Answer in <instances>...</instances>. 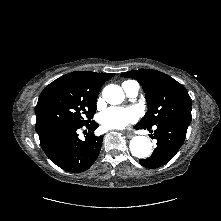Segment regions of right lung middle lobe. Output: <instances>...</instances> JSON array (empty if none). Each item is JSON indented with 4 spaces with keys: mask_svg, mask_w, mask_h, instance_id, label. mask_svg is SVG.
<instances>
[{
    "mask_svg": "<svg viewBox=\"0 0 221 221\" xmlns=\"http://www.w3.org/2000/svg\"><path fill=\"white\" fill-rule=\"evenodd\" d=\"M96 96H91L68 79L58 78L41 92L35 113L37 133L56 126H83L96 112Z\"/></svg>",
    "mask_w": 221,
    "mask_h": 221,
    "instance_id": "dd1d6c3e",
    "label": "right lung middle lobe"
}]
</instances>
